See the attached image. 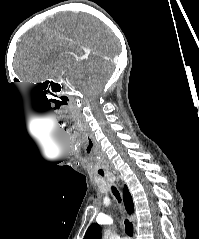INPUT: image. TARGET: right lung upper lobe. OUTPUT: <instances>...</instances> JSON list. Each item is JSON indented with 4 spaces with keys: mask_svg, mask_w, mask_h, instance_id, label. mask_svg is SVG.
<instances>
[{
    "mask_svg": "<svg viewBox=\"0 0 199 239\" xmlns=\"http://www.w3.org/2000/svg\"><path fill=\"white\" fill-rule=\"evenodd\" d=\"M123 197H124V202L126 204V208L128 213L133 212V201H132V196L129 193V190L127 186H124L123 189ZM101 238V230L98 224L93 223L88 230L85 233L84 239H100Z\"/></svg>",
    "mask_w": 199,
    "mask_h": 239,
    "instance_id": "right-lung-upper-lobe-1",
    "label": "right lung upper lobe"
}]
</instances>
